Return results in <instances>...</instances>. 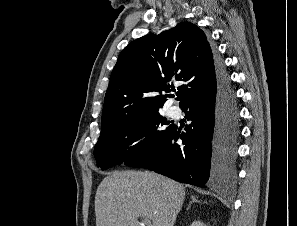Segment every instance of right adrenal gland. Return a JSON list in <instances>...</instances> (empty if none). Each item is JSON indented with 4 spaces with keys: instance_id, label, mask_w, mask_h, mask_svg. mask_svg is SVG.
I'll list each match as a JSON object with an SVG mask.
<instances>
[{
    "instance_id": "obj_1",
    "label": "right adrenal gland",
    "mask_w": 297,
    "mask_h": 226,
    "mask_svg": "<svg viewBox=\"0 0 297 226\" xmlns=\"http://www.w3.org/2000/svg\"><path fill=\"white\" fill-rule=\"evenodd\" d=\"M192 201L189 203L188 208L191 206L193 202H199L194 196H191ZM187 208V209H188Z\"/></svg>"
}]
</instances>
